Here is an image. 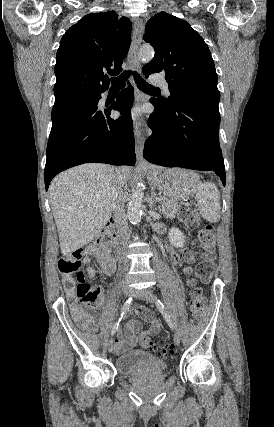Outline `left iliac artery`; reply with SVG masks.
Instances as JSON below:
<instances>
[{"mask_svg": "<svg viewBox=\"0 0 274 427\" xmlns=\"http://www.w3.org/2000/svg\"><path fill=\"white\" fill-rule=\"evenodd\" d=\"M156 306L159 309V311L161 312L162 316L164 317V319H165L166 323L169 325V327L171 329H174V324H173V322L171 320V317L167 313V311H166L163 303L159 299H156Z\"/></svg>", "mask_w": 274, "mask_h": 427, "instance_id": "left-iliac-artery-1", "label": "left iliac artery"}]
</instances>
